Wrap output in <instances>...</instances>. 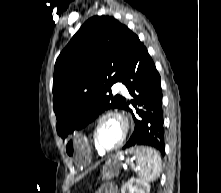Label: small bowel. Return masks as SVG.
<instances>
[{
  "mask_svg": "<svg viewBox=\"0 0 221 193\" xmlns=\"http://www.w3.org/2000/svg\"><path fill=\"white\" fill-rule=\"evenodd\" d=\"M95 193H118V191L113 185H105L104 187L97 190Z\"/></svg>",
  "mask_w": 221,
  "mask_h": 193,
  "instance_id": "obj_1",
  "label": "small bowel"
}]
</instances>
